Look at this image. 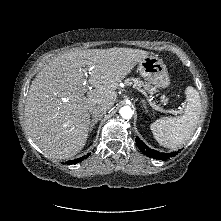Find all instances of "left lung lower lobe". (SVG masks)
<instances>
[{"label":"left lung lower lobe","instance_id":"1","mask_svg":"<svg viewBox=\"0 0 221 221\" xmlns=\"http://www.w3.org/2000/svg\"><path fill=\"white\" fill-rule=\"evenodd\" d=\"M136 144L139 147L140 151L148 156V157H152L153 159H159V160H167L170 157H173L175 155H177L180 151L178 152H173V153H161L159 151L150 149L149 147H147L142 140H140L138 137L136 138Z\"/></svg>","mask_w":221,"mask_h":221}]
</instances>
